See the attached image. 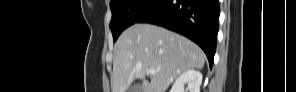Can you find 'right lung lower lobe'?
<instances>
[{
  "instance_id": "98d812e1",
  "label": "right lung lower lobe",
  "mask_w": 296,
  "mask_h": 92,
  "mask_svg": "<svg viewBox=\"0 0 296 92\" xmlns=\"http://www.w3.org/2000/svg\"><path fill=\"white\" fill-rule=\"evenodd\" d=\"M219 13L218 0H159L136 23L156 24L188 37L204 50L212 67Z\"/></svg>"
}]
</instances>
